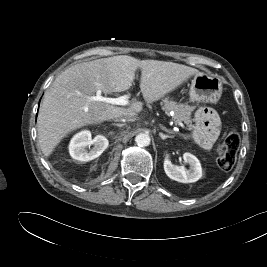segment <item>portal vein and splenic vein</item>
<instances>
[{
    "label": "portal vein and splenic vein",
    "mask_w": 267,
    "mask_h": 267,
    "mask_svg": "<svg viewBox=\"0 0 267 267\" xmlns=\"http://www.w3.org/2000/svg\"><path fill=\"white\" fill-rule=\"evenodd\" d=\"M129 95H123L120 96L118 98H109V97H103L101 95L100 91L96 92V96L91 97V100H95V101H101V102H105L108 104H113V105H129ZM178 125L181 126L182 128H185L184 124L182 122H178Z\"/></svg>",
    "instance_id": "1"
}]
</instances>
